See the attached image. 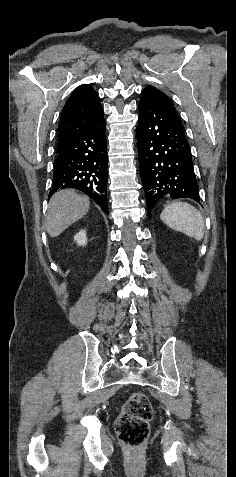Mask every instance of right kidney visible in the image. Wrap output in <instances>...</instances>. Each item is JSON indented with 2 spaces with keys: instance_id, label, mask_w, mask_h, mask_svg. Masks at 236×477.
<instances>
[{
  "instance_id": "obj_1",
  "label": "right kidney",
  "mask_w": 236,
  "mask_h": 477,
  "mask_svg": "<svg viewBox=\"0 0 236 477\" xmlns=\"http://www.w3.org/2000/svg\"><path fill=\"white\" fill-rule=\"evenodd\" d=\"M74 240L80 246H84L87 243L86 230L79 231L75 236Z\"/></svg>"
}]
</instances>
